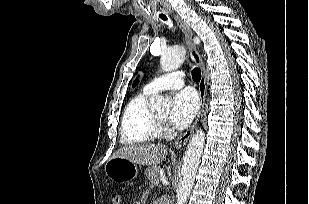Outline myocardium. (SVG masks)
<instances>
[{"mask_svg":"<svg viewBox=\"0 0 309 204\" xmlns=\"http://www.w3.org/2000/svg\"><path fill=\"white\" fill-rule=\"evenodd\" d=\"M158 124L163 125L165 120L160 119L159 117H155Z\"/></svg>","mask_w":309,"mask_h":204,"instance_id":"f54148a6","label":"myocardium"}]
</instances>
